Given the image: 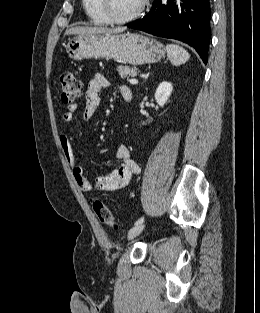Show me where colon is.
I'll return each mask as SVG.
<instances>
[{"instance_id":"1","label":"colon","mask_w":260,"mask_h":313,"mask_svg":"<svg viewBox=\"0 0 260 313\" xmlns=\"http://www.w3.org/2000/svg\"><path fill=\"white\" fill-rule=\"evenodd\" d=\"M60 84L61 98L64 103L72 104L82 95L83 85L73 71L64 70L60 76ZM92 206L96 216L102 223L110 227H116L115 217L102 201L94 200Z\"/></svg>"}]
</instances>
